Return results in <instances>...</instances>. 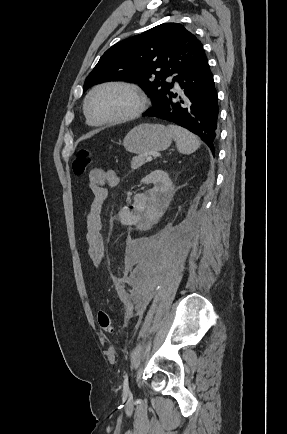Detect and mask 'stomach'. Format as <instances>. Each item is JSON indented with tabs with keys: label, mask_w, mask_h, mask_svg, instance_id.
Returning <instances> with one entry per match:
<instances>
[{
	"label": "stomach",
	"mask_w": 287,
	"mask_h": 434,
	"mask_svg": "<svg viewBox=\"0 0 287 434\" xmlns=\"http://www.w3.org/2000/svg\"><path fill=\"white\" fill-rule=\"evenodd\" d=\"M172 135L163 125L140 124L127 133L123 140L125 149L134 154L166 150Z\"/></svg>",
	"instance_id": "0dacf381"
}]
</instances>
